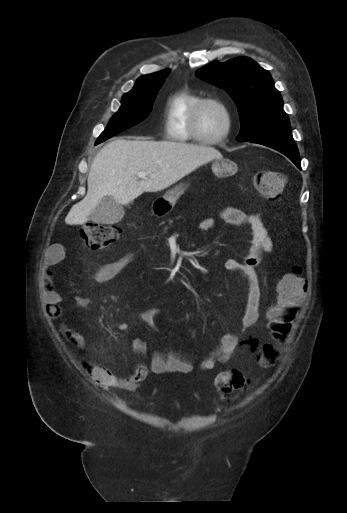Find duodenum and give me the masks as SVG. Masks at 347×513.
Here are the masks:
<instances>
[{
    "label": "duodenum",
    "instance_id": "obj_1",
    "mask_svg": "<svg viewBox=\"0 0 347 513\" xmlns=\"http://www.w3.org/2000/svg\"><path fill=\"white\" fill-rule=\"evenodd\" d=\"M163 209H164L163 204H161L160 202H155V204H154V210H155L156 212H159V213H160V212H162V211H163Z\"/></svg>",
    "mask_w": 347,
    "mask_h": 513
}]
</instances>
